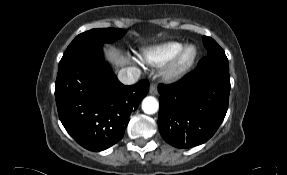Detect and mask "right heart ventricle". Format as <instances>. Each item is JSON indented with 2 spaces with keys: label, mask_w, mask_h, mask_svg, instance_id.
Masks as SVG:
<instances>
[{
  "label": "right heart ventricle",
  "mask_w": 287,
  "mask_h": 175,
  "mask_svg": "<svg viewBox=\"0 0 287 175\" xmlns=\"http://www.w3.org/2000/svg\"><path fill=\"white\" fill-rule=\"evenodd\" d=\"M182 46L183 43L179 41H168L145 48L141 56V61L153 67H162L174 58Z\"/></svg>",
  "instance_id": "obj_1"
}]
</instances>
